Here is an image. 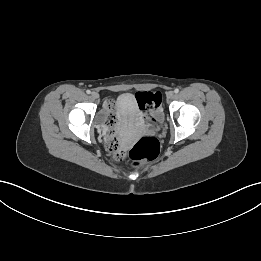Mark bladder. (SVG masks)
I'll list each match as a JSON object with an SVG mask.
<instances>
[{
	"instance_id": "1",
	"label": "bladder",
	"mask_w": 261,
	"mask_h": 261,
	"mask_svg": "<svg viewBox=\"0 0 261 261\" xmlns=\"http://www.w3.org/2000/svg\"><path fill=\"white\" fill-rule=\"evenodd\" d=\"M114 109L121 124L129 125L136 122L138 109L136 99L131 93L120 94L116 98Z\"/></svg>"
}]
</instances>
